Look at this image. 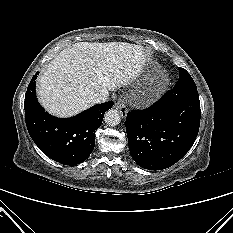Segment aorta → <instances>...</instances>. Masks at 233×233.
Returning <instances> with one entry per match:
<instances>
[{"label": "aorta", "mask_w": 233, "mask_h": 233, "mask_svg": "<svg viewBox=\"0 0 233 233\" xmlns=\"http://www.w3.org/2000/svg\"><path fill=\"white\" fill-rule=\"evenodd\" d=\"M120 113L115 109H110L105 113L104 121L108 126H117L120 123Z\"/></svg>", "instance_id": "1"}]
</instances>
